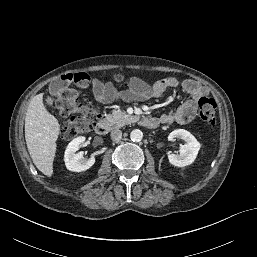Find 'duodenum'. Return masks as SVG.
I'll return each mask as SVG.
<instances>
[{
  "mask_svg": "<svg viewBox=\"0 0 257 257\" xmlns=\"http://www.w3.org/2000/svg\"><path fill=\"white\" fill-rule=\"evenodd\" d=\"M141 124L146 128L153 129L159 125V120L154 117H145L141 120ZM109 130L110 124L104 119L100 120L96 124L95 131L99 135H105L109 132Z\"/></svg>",
  "mask_w": 257,
  "mask_h": 257,
  "instance_id": "duodenum-1",
  "label": "duodenum"
}]
</instances>
